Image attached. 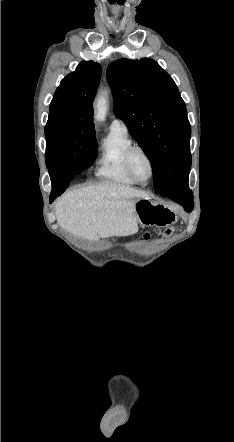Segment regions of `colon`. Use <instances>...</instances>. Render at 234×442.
Segmentation results:
<instances>
[{
	"label": "colon",
	"mask_w": 234,
	"mask_h": 442,
	"mask_svg": "<svg viewBox=\"0 0 234 442\" xmlns=\"http://www.w3.org/2000/svg\"><path fill=\"white\" fill-rule=\"evenodd\" d=\"M169 232V231H168ZM148 237V235H144V239H146Z\"/></svg>",
	"instance_id": "colon-1"
}]
</instances>
